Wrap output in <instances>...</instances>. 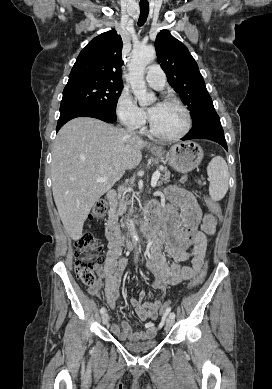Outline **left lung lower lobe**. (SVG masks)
Wrapping results in <instances>:
<instances>
[{"instance_id":"1","label":"left lung lower lobe","mask_w":272,"mask_h":389,"mask_svg":"<svg viewBox=\"0 0 272 389\" xmlns=\"http://www.w3.org/2000/svg\"><path fill=\"white\" fill-rule=\"evenodd\" d=\"M190 139H208L215 141L222 145L226 150L227 144L224 137V131L222 129L218 114L214 111L201 122L192 125V129L187 133L182 140Z\"/></svg>"}]
</instances>
